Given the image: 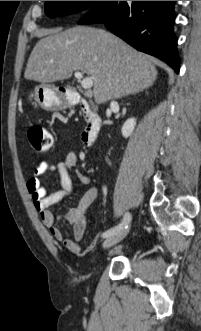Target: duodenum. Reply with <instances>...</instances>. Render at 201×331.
Masks as SVG:
<instances>
[{"label": "duodenum", "mask_w": 201, "mask_h": 331, "mask_svg": "<svg viewBox=\"0 0 201 331\" xmlns=\"http://www.w3.org/2000/svg\"><path fill=\"white\" fill-rule=\"evenodd\" d=\"M59 95L63 96L68 103L79 106L86 121L85 128L82 131V143L85 147H91L99 133L100 119L93 113L89 102L80 98L77 92L60 88Z\"/></svg>", "instance_id": "duodenum-1"}]
</instances>
